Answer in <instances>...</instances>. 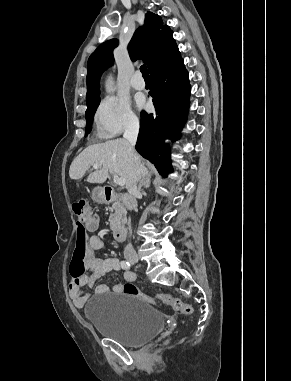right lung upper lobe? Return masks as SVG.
<instances>
[{
  "instance_id": "cb5924a9",
  "label": "right lung upper lobe",
  "mask_w": 291,
  "mask_h": 381,
  "mask_svg": "<svg viewBox=\"0 0 291 381\" xmlns=\"http://www.w3.org/2000/svg\"><path fill=\"white\" fill-rule=\"evenodd\" d=\"M173 31L165 25L160 16L146 13L143 27L136 30L129 45V55L132 61L142 59L149 71L178 51ZM118 45L116 39L101 44L88 59L87 95L89 104L100 95V77L113 63L112 50Z\"/></svg>"
}]
</instances>
